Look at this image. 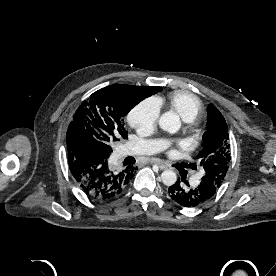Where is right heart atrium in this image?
I'll return each mask as SVG.
<instances>
[{
    "label": "right heart atrium",
    "instance_id": "obj_1",
    "mask_svg": "<svg viewBox=\"0 0 276 276\" xmlns=\"http://www.w3.org/2000/svg\"><path fill=\"white\" fill-rule=\"evenodd\" d=\"M159 114L160 107L156 100H144L129 112L128 122L140 134H150L157 125Z\"/></svg>",
    "mask_w": 276,
    "mask_h": 276
}]
</instances>
